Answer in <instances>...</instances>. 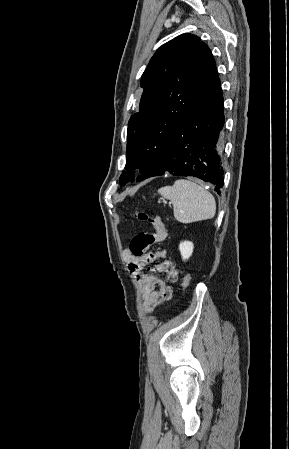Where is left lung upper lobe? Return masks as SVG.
<instances>
[{"label": "left lung upper lobe", "mask_w": 289, "mask_h": 449, "mask_svg": "<svg viewBox=\"0 0 289 449\" xmlns=\"http://www.w3.org/2000/svg\"><path fill=\"white\" fill-rule=\"evenodd\" d=\"M214 65L208 46L192 34H182L157 50L141 78L139 112L128 123L121 186L134 180L136 169L141 173L137 181L160 170L171 131L192 111Z\"/></svg>", "instance_id": "left-lung-upper-lobe-1"}]
</instances>
